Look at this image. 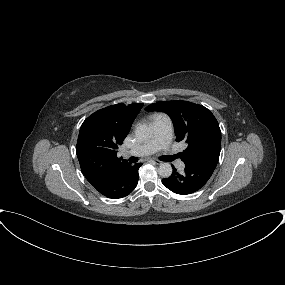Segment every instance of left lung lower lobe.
<instances>
[{"label":"left lung lower lobe","instance_id":"left-lung-lower-lobe-1","mask_svg":"<svg viewBox=\"0 0 285 285\" xmlns=\"http://www.w3.org/2000/svg\"><path fill=\"white\" fill-rule=\"evenodd\" d=\"M185 165V171L181 174L172 165V175L162 180L163 185L176 194H192L202 188L211 177L217 163L199 161Z\"/></svg>","mask_w":285,"mask_h":285}]
</instances>
